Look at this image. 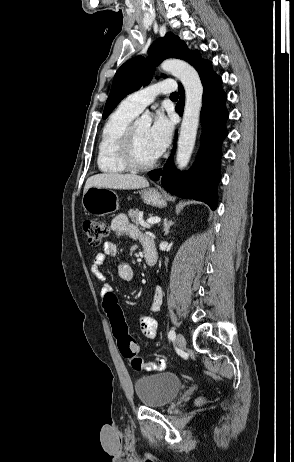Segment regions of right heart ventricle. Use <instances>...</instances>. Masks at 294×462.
<instances>
[{"label":"right heart ventricle","mask_w":294,"mask_h":462,"mask_svg":"<svg viewBox=\"0 0 294 462\" xmlns=\"http://www.w3.org/2000/svg\"><path fill=\"white\" fill-rule=\"evenodd\" d=\"M137 114L122 104L109 116L100 136L97 153L98 169L106 174H120L128 169L119 159V144L127 126Z\"/></svg>","instance_id":"e07e8e85"}]
</instances>
